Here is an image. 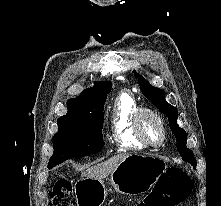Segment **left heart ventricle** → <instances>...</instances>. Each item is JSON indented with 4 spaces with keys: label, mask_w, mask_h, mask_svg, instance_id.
Listing matches in <instances>:
<instances>
[{
    "label": "left heart ventricle",
    "mask_w": 221,
    "mask_h": 206,
    "mask_svg": "<svg viewBox=\"0 0 221 206\" xmlns=\"http://www.w3.org/2000/svg\"><path fill=\"white\" fill-rule=\"evenodd\" d=\"M142 126L147 139L154 144L160 142L162 131L158 122L151 116H144Z\"/></svg>",
    "instance_id": "1"
}]
</instances>
